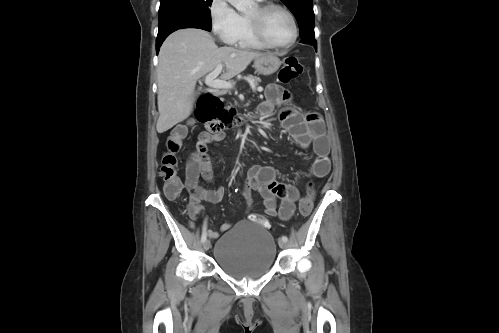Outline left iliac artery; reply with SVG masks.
<instances>
[{
	"mask_svg": "<svg viewBox=\"0 0 499 333\" xmlns=\"http://www.w3.org/2000/svg\"><path fill=\"white\" fill-rule=\"evenodd\" d=\"M282 240L285 241V242H287L288 241L287 236H282Z\"/></svg>",
	"mask_w": 499,
	"mask_h": 333,
	"instance_id": "44dca946",
	"label": "left iliac artery"
}]
</instances>
